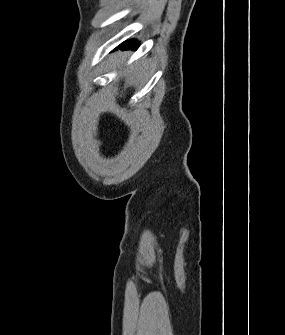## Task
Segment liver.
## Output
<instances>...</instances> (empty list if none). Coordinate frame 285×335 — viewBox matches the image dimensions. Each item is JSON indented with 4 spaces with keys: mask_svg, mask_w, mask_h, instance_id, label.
<instances>
[{
    "mask_svg": "<svg viewBox=\"0 0 285 335\" xmlns=\"http://www.w3.org/2000/svg\"><path fill=\"white\" fill-rule=\"evenodd\" d=\"M124 62H125V60L122 56L118 66H121V64H124ZM139 70H140L142 76H145V78H146V76L148 74V68H147L146 64H144V66H141V68H139ZM139 70H137V72H131L130 78H136V74H140Z\"/></svg>",
    "mask_w": 285,
    "mask_h": 335,
    "instance_id": "liver-1",
    "label": "liver"
}]
</instances>
